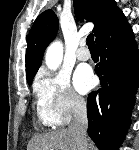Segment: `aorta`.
I'll return each instance as SVG.
<instances>
[{"instance_id": "obj_1", "label": "aorta", "mask_w": 139, "mask_h": 150, "mask_svg": "<svg viewBox=\"0 0 139 150\" xmlns=\"http://www.w3.org/2000/svg\"><path fill=\"white\" fill-rule=\"evenodd\" d=\"M63 58V45L60 41L53 42L47 49L45 62L49 69L55 70L59 67Z\"/></svg>"}]
</instances>
